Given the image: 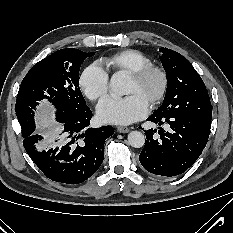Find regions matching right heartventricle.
<instances>
[{
	"label": "right heart ventricle",
	"instance_id": "right-heart-ventricle-1",
	"mask_svg": "<svg viewBox=\"0 0 233 233\" xmlns=\"http://www.w3.org/2000/svg\"><path fill=\"white\" fill-rule=\"evenodd\" d=\"M102 63H104L109 69L131 74L142 67L151 65L152 61L141 51L125 49L104 58Z\"/></svg>",
	"mask_w": 233,
	"mask_h": 233
}]
</instances>
